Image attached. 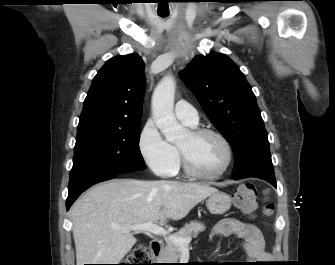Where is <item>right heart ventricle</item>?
<instances>
[{"mask_svg": "<svg viewBox=\"0 0 335 265\" xmlns=\"http://www.w3.org/2000/svg\"><path fill=\"white\" fill-rule=\"evenodd\" d=\"M178 167H179V166L177 165L175 171H174L171 175H174V174H176V173L178 172Z\"/></svg>", "mask_w": 335, "mask_h": 265, "instance_id": "1", "label": "right heart ventricle"}]
</instances>
